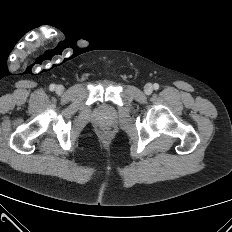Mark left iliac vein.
<instances>
[{"label": "left iliac vein", "mask_w": 232, "mask_h": 232, "mask_svg": "<svg viewBox=\"0 0 232 232\" xmlns=\"http://www.w3.org/2000/svg\"><path fill=\"white\" fill-rule=\"evenodd\" d=\"M144 92L147 95H150L153 92V86L152 84L148 83L144 86Z\"/></svg>", "instance_id": "4c4485c4"}]
</instances>
